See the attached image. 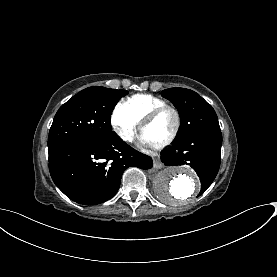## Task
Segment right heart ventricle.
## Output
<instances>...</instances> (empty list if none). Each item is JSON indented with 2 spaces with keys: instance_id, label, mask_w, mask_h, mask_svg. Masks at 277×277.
Returning <instances> with one entry per match:
<instances>
[{
  "instance_id": "1",
  "label": "right heart ventricle",
  "mask_w": 277,
  "mask_h": 277,
  "mask_svg": "<svg viewBox=\"0 0 277 277\" xmlns=\"http://www.w3.org/2000/svg\"><path fill=\"white\" fill-rule=\"evenodd\" d=\"M167 102L149 94H136L127 98L120 108L141 122L152 109L165 105Z\"/></svg>"
}]
</instances>
